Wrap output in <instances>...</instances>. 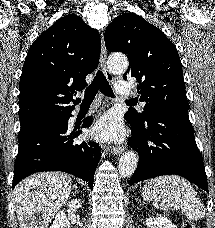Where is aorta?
<instances>
[{"instance_id":"762f6f07","label":"aorta","mask_w":215,"mask_h":228,"mask_svg":"<svg viewBox=\"0 0 215 228\" xmlns=\"http://www.w3.org/2000/svg\"><path fill=\"white\" fill-rule=\"evenodd\" d=\"M110 64L112 68H115L118 72H125L129 66L126 56H122V54H118V58L111 56ZM138 160L139 158L135 152H125V154H123L118 166V170L123 178L133 176L138 166Z\"/></svg>"}]
</instances>
